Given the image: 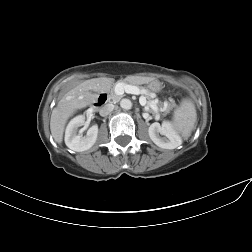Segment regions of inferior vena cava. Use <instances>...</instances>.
Here are the masks:
<instances>
[{
    "label": "inferior vena cava",
    "instance_id": "inferior-vena-cava-1",
    "mask_svg": "<svg viewBox=\"0 0 252 252\" xmlns=\"http://www.w3.org/2000/svg\"><path fill=\"white\" fill-rule=\"evenodd\" d=\"M114 107L115 106L113 104H106L100 109L99 113L101 116H107L110 112L113 111Z\"/></svg>",
    "mask_w": 252,
    "mask_h": 252
}]
</instances>
